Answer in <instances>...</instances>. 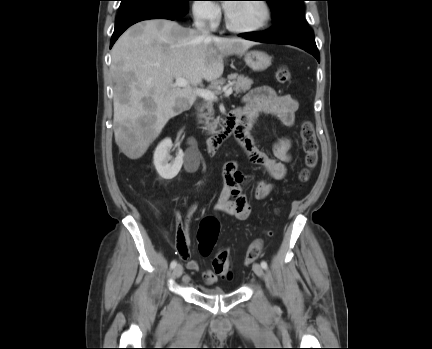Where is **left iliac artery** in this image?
Segmentation results:
<instances>
[{"instance_id": "left-iliac-artery-1", "label": "left iliac artery", "mask_w": 432, "mask_h": 349, "mask_svg": "<svg viewBox=\"0 0 432 349\" xmlns=\"http://www.w3.org/2000/svg\"><path fill=\"white\" fill-rule=\"evenodd\" d=\"M261 266H262L263 269H267L268 268V265H267V263L265 261L261 262Z\"/></svg>"}]
</instances>
